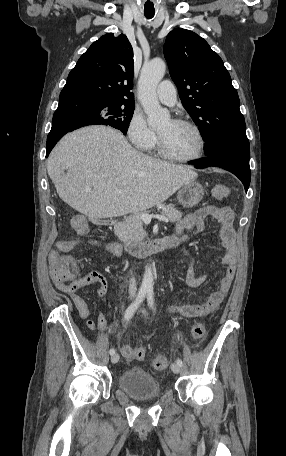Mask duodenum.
Wrapping results in <instances>:
<instances>
[{"label": "duodenum", "mask_w": 286, "mask_h": 456, "mask_svg": "<svg viewBox=\"0 0 286 456\" xmlns=\"http://www.w3.org/2000/svg\"><path fill=\"white\" fill-rule=\"evenodd\" d=\"M100 223L104 224L103 219L100 220ZM181 243L182 240L178 239L176 236H170L138 243H126L124 248L127 253L142 257L152 253L178 248Z\"/></svg>", "instance_id": "1"}]
</instances>
